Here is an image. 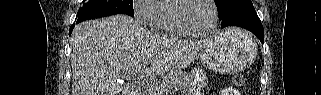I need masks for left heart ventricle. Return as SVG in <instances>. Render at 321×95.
<instances>
[{
	"label": "left heart ventricle",
	"mask_w": 321,
	"mask_h": 95,
	"mask_svg": "<svg viewBox=\"0 0 321 95\" xmlns=\"http://www.w3.org/2000/svg\"><path fill=\"white\" fill-rule=\"evenodd\" d=\"M178 18L182 24L194 30H207L213 21L212 6L207 0L188 1L181 6Z\"/></svg>",
	"instance_id": "b2bd125f"
}]
</instances>
